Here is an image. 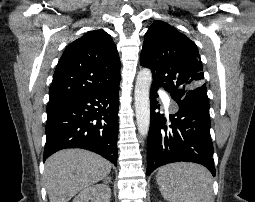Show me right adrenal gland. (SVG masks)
<instances>
[{"label": "right adrenal gland", "mask_w": 255, "mask_h": 202, "mask_svg": "<svg viewBox=\"0 0 255 202\" xmlns=\"http://www.w3.org/2000/svg\"><path fill=\"white\" fill-rule=\"evenodd\" d=\"M104 183H105V184H107V183L112 184L111 177L109 176V177L105 178V179H104Z\"/></svg>", "instance_id": "obj_1"}]
</instances>
